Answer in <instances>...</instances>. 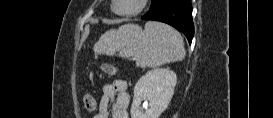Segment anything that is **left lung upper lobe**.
<instances>
[{"label":"left lung upper lobe","mask_w":273,"mask_h":118,"mask_svg":"<svg viewBox=\"0 0 273 118\" xmlns=\"http://www.w3.org/2000/svg\"><path fill=\"white\" fill-rule=\"evenodd\" d=\"M161 2L162 0H152L151 7L147 13L154 11L160 5Z\"/></svg>","instance_id":"1"}]
</instances>
